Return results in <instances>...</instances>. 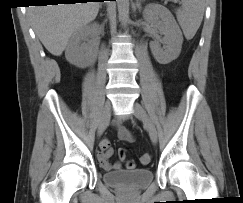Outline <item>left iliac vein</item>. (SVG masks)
<instances>
[{"label": "left iliac vein", "mask_w": 243, "mask_h": 203, "mask_svg": "<svg viewBox=\"0 0 243 203\" xmlns=\"http://www.w3.org/2000/svg\"><path fill=\"white\" fill-rule=\"evenodd\" d=\"M133 113L147 128L151 141L156 143L158 139L157 130L145 109L139 103H134Z\"/></svg>", "instance_id": "1"}]
</instances>
